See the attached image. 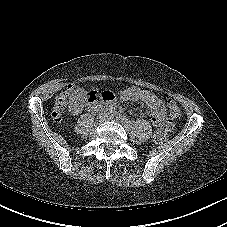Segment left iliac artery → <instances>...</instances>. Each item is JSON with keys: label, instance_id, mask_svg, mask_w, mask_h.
Listing matches in <instances>:
<instances>
[{"label": "left iliac artery", "instance_id": "obj_1", "mask_svg": "<svg viewBox=\"0 0 227 227\" xmlns=\"http://www.w3.org/2000/svg\"><path fill=\"white\" fill-rule=\"evenodd\" d=\"M118 118H120L121 121L124 122L129 129L133 128L132 122H130L125 116H119Z\"/></svg>", "mask_w": 227, "mask_h": 227}]
</instances>
